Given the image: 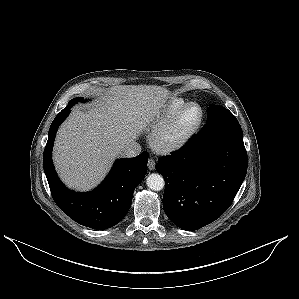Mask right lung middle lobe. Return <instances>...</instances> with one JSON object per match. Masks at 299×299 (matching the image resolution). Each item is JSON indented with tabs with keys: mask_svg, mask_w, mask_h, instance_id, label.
<instances>
[{
	"mask_svg": "<svg viewBox=\"0 0 299 299\" xmlns=\"http://www.w3.org/2000/svg\"><path fill=\"white\" fill-rule=\"evenodd\" d=\"M83 101H84L83 98H74L68 103V105L73 106L74 104H77L78 102H83Z\"/></svg>",
	"mask_w": 299,
	"mask_h": 299,
	"instance_id": "dd1d6c3e",
	"label": "right lung middle lobe"
}]
</instances>
